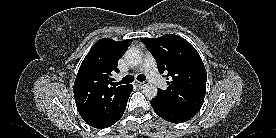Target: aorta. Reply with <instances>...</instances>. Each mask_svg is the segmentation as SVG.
<instances>
[{
	"mask_svg": "<svg viewBox=\"0 0 276 138\" xmlns=\"http://www.w3.org/2000/svg\"><path fill=\"white\" fill-rule=\"evenodd\" d=\"M125 60L131 66H137L142 62V54L136 48H130L125 52ZM145 96L149 99L155 98L158 94V89L154 85H145L143 90Z\"/></svg>",
	"mask_w": 276,
	"mask_h": 138,
	"instance_id": "1",
	"label": "aorta"
}]
</instances>
